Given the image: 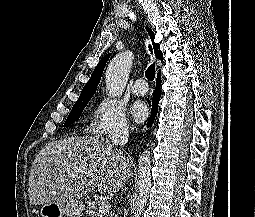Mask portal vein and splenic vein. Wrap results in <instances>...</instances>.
Wrapping results in <instances>:
<instances>
[{"label": "portal vein and splenic vein", "mask_w": 255, "mask_h": 217, "mask_svg": "<svg viewBox=\"0 0 255 217\" xmlns=\"http://www.w3.org/2000/svg\"><path fill=\"white\" fill-rule=\"evenodd\" d=\"M110 208H111L110 202L103 201L99 206L98 215L106 214L107 212H109Z\"/></svg>", "instance_id": "1"}]
</instances>
